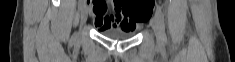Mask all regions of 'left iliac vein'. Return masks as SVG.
Wrapping results in <instances>:
<instances>
[{
  "label": "left iliac vein",
  "instance_id": "left-iliac-vein-1",
  "mask_svg": "<svg viewBox=\"0 0 235 62\" xmlns=\"http://www.w3.org/2000/svg\"><path fill=\"white\" fill-rule=\"evenodd\" d=\"M151 26H152V29H153L154 34L156 36L157 43L159 45L163 44L164 42H163V39H162L160 25H159V22H158V19H157L156 16L151 19Z\"/></svg>",
  "mask_w": 235,
  "mask_h": 62
}]
</instances>
